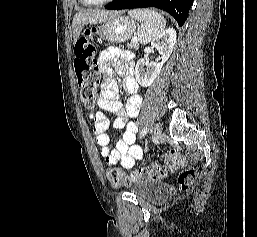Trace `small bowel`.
<instances>
[{"mask_svg":"<svg viewBox=\"0 0 257 237\" xmlns=\"http://www.w3.org/2000/svg\"><path fill=\"white\" fill-rule=\"evenodd\" d=\"M98 62L105 75L97 105L101 110L116 116L112 126L123 132L112 148L110 135L107 133L109 127L107 117L101 111H92L89 113V118L93 121V134L100 147L101 156L109 165L121 164L123 168L131 169L135 162L143 157L142 148L135 144L138 127L133 119L139 113L142 97L138 94L131 55L117 47H109L100 53ZM115 71L122 76L124 89L130 94L125 105L118 98V83L113 77Z\"/></svg>","mask_w":257,"mask_h":237,"instance_id":"c3829d8e","label":"small bowel"}]
</instances>
